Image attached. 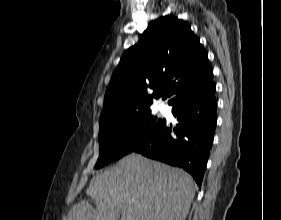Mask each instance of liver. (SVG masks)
I'll list each match as a JSON object with an SVG mask.
<instances>
[{
  "label": "liver",
  "instance_id": "6515ba94",
  "mask_svg": "<svg viewBox=\"0 0 281 220\" xmlns=\"http://www.w3.org/2000/svg\"><path fill=\"white\" fill-rule=\"evenodd\" d=\"M86 193L96 208L82 201L67 220H185L195 188L182 169L132 153L93 177Z\"/></svg>",
  "mask_w": 281,
  "mask_h": 220
}]
</instances>
